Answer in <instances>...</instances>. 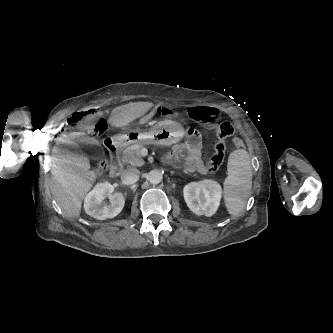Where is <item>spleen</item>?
<instances>
[{"label":"spleen","instance_id":"obj_1","mask_svg":"<svg viewBox=\"0 0 333 333\" xmlns=\"http://www.w3.org/2000/svg\"><path fill=\"white\" fill-rule=\"evenodd\" d=\"M228 176L224 181V199L227 210L237 216L244 208L252 187V167L249 153L244 149L233 151L228 159Z\"/></svg>","mask_w":333,"mask_h":333}]
</instances>
